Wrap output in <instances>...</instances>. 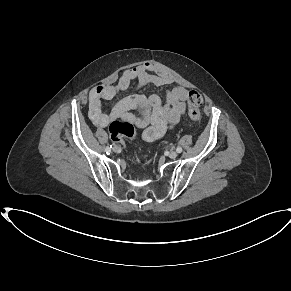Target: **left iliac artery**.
<instances>
[{"label": "left iliac artery", "mask_w": 291, "mask_h": 291, "mask_svg": "<svg viewBox=\"0 0 291 291\" xmlns=\"http://www.w3.org/2000/svg\"><path fill=\"white\" fill-rule=\"evenodd\" d=\"M176 151H177L178 153H181V152H182V148H181V147H177V148H176Z\"/></svg>", "instance_id": "1"}]
</instances>
